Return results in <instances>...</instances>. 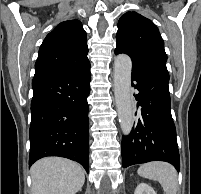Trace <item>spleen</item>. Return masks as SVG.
I'll return each mask as SVG.
<instances>
[{"label":"spleen","mask_w":201,"mask_h":194,"mask_svg":"<svg viewBox=\"0 0 201 194\" xmlns=\"http://www.w3.org/2000/svg\"><path fill=\"white\" fill-rule=\"evenodd\" d=\"M137 172L141 177L158 181L166 194L177 193V173L169 163L160 161L146 163L141 165Z\"/></svg>","instance_id":"spleen-1"}]
</instances>
